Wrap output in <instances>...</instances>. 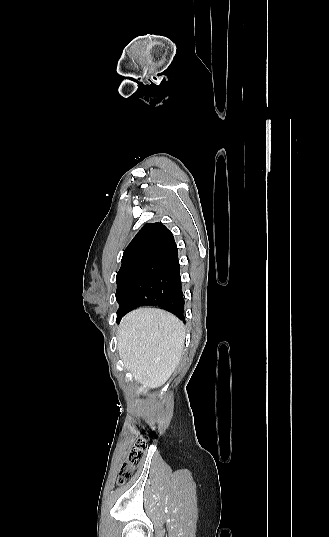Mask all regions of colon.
Segmentation results:
<instances>
[{"mask_svg": "<svg viewBox=\"0 0 329 537\" xmlns=\"http://www.w3.org/2000/svg\"><path fill=\"white\" fill-rule=\"evenodd\" d=\"M147 441V437L142 436L137 439L129 449L126 459L124 460L118 472V478L116 482L118 486L123 485L134 475L138 465L140 464L145 454Z\"/></svg>", "mask_w": 329, "mask_h": 537, "instance_id": "1", "label": "colon"}]
</instances>
